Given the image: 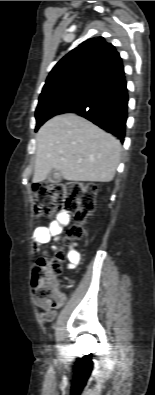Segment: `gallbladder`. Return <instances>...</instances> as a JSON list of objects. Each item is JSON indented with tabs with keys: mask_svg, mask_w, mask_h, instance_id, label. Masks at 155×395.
<instances>
[{
	"mask_svg": "<svg viewBox=\"0 0 155 395\" xmlns=\"http://www.w3.org/2000/svg\"><path fill=\"white\" fill-rule=\"evenodd\" d=\"M62 178L63 177H62L61 173L59 171L53 169L47 176V181L52 184H58L61 182Z\"/></svg>",
	"mask_w": 155,
	"mask_h": 395,
	"instance_id": "bac80fb5",
	"label": "gallbladder"
}]
</instances>
